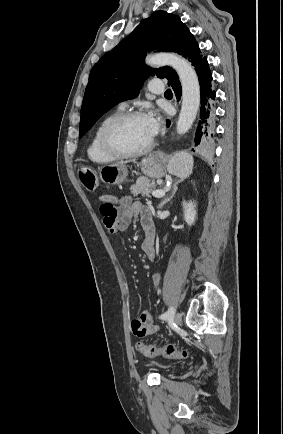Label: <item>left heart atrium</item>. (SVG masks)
<instances>
[{"instance_id":"1","label":"left heart atrium","mask_w":283,"mask_h":434,"mask_svg":"<svg viewBox=\"0 0 283 434\" xmlns=\"http://www.w3.org/2000/svg\"><path fill=\"white\" fill-rule=\"evenodd\" d=\"M145 122L150 136L153 138L160 129V118L155 112L145 116Z\"/></svg>"}]
</instances>
